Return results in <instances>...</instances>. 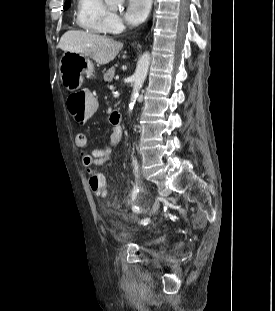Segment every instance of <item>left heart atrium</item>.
Masks as SVG:
<instances>
[{
    "instance_id": "1",
    "label": "left heart atrium",
    "mask_w": 275,
    "mask_h": 311,
    "mask_svg": "<svg viewBox=\"0 0 275 311\" xmlns=\"http://www.w3.org/2000/svg\"><path fill=\"white\" fill-rule=\"evenodd\" d=\"M151 0H128L125 10V19L136 25L141 23L149 13Z\"/></svg>"
}]
</instances>
